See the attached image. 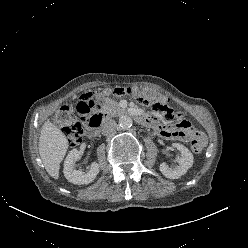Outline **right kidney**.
<instances>
[{
	"instance_id": "right-kidney-1",
	"label": "right kidney",
	"mask_w": 248,
	"mask_h": 248,
	"mask_svg": "<svg viewBox=\"0 0 248 248\" xmlns=\"http://www.w3.org/2000/svg\"><path fill=\"white\" fill-rule=\"evenodd\" d=\"M80 158V152L77 149H73L67 155L64 162V176L65 178L77 185L89 184L92 182L99 173V165L96 162L91 164L90 170L87 173H83L80 170H75V162Z\"/></svg>"
}]
</instances>
